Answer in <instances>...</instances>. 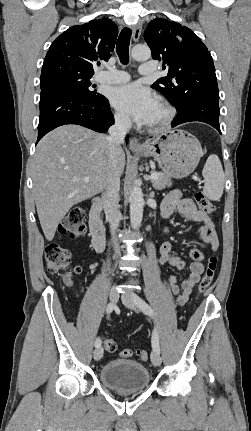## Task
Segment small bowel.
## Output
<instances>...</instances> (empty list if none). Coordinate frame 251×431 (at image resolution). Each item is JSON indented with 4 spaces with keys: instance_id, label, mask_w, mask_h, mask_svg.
Wrapping results in <instances>:
<instances>
[{
    "instance_id": "c3829d8e",
    "label": "small bowel",
    "mask_w": 251,
    "mask_h": 431,
    "mask_svg": "<svg viewBox=\"0 0 251 431\" xmlns=\"http://www.w3.org/2000/svg\"><path fill=\"white\" fill-rule=\"evenodd\" d=\"M179 213L184 219L199 224V235L202 241L216 251L219 245L217 230L211 219L204 212L197 209L189 198H183L180 191L170 192L162 202L161 213L164 219L170 218L174 213ZM168 232V228L165 229ZM189 256L192 262L189 265V276L178 283L176 277L171 276L167 285L168 290L176 295V302L184 306L192 293L194 286L200 280L204 271V254L199 248H191ZM160 264H168L180 270L185 266L184 261L173 254L170 242H164L160 246Z\"/></svg>"
}]
</instances>
